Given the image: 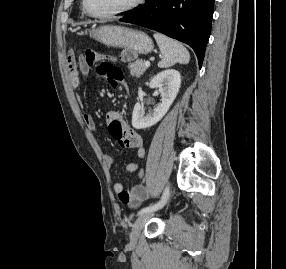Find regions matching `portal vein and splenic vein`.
Wrapping results in <instances>:
<instances>
[{"label":"portal vein and splenic vein","mask_w":286,"mask_h":269,"mask_svg":"<svg viewBox=\"0 0 286 269\" xmlns=\"http://www.w3.org/2000/svg\"><path fill=\"white\" fill-rule=\"evenodd\" d=\"M144 64H145V66H147V67L150 66V62H149V61H145Z\"/></svg>","instance_id":"obj_1"}]
</instances>
